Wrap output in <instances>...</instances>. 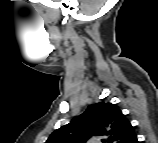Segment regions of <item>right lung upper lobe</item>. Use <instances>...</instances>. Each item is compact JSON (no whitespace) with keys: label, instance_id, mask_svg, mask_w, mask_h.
Returning a JSON list of instances; mask_svg holds the SVG:
<instances>
[{"label":"right lung upper lobe","instance_id":"cb5924a9","mask_svg":"<svg viewBox=\"0 0 158 143\" xmlns=\"http://www.w3.org/2000/svg\"><path fill=\"white\" fill-rule=\"evenodd\" d=\"M104 138L106 143H134V127L115 104L99 102L69 124L55 130L46 143H86L91 138Z\"/></svg>","mask_w":158,"mask_h":143}]
</instances>
